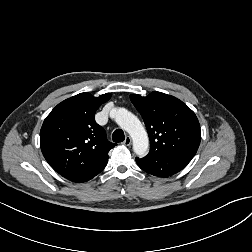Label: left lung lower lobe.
Wrapping results in <instances>:
<instances>
[{"instance_id":"obj_1","label":"left lung lower lobe","mask_w":252,"mask_h":252,"mask_svg":"<svg viewBox=\"0 0 252 252\" xmlns=\"http://www.w3.org/2000/svg\"><path fill=\"white\" fill-rule=\"evenodd\" d=\"M192 158L180 155H161L136 158L139 167L157 177H168L182 170Z\"/></svg>"}]
</instances>
